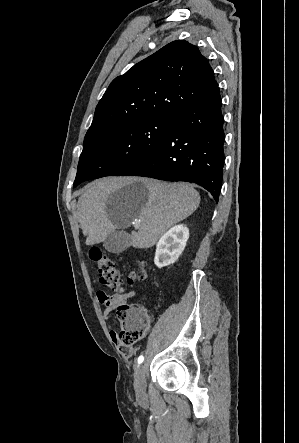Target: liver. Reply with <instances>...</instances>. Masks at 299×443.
<instances>
[{
	"instance_id": "6515ba94",
	"label": "liver",
	"mask_w": 299,
	"mask_h": 443,
	"mask_svg": "<svg viewBox=\"0 0 299 443\" xmlns=\"http://www.w3.org/2000/svg\"><path fill=\"white\" fill-rule=\"evenodd\" d=\"M200 195L189 184L150 178L106 177L87 184L78 199L77 217L86 245L103 242L116 229L138 219L130 245L150 248L173 225L199 207Z\"/></svg>"
}]
</instances>
